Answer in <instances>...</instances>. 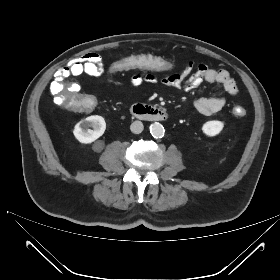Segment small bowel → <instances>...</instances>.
Masks as SVG:
<instances>
[{
    "mask_svg": "<svg viewBox=\"0 0 280 280\" xmlns=\"http://www.w3.org/2000/svg\"><path fill=\"white\" fill-rule=\"evenodd\" d=\"M192 66L193 63L188 62L183 71L172 73L160 71L143 73L139 69V71L130 78L129 83L133 87L140 86L144 83H161L168 87L184 90H193L203 83H208L216 85L230 95H236L238 93V87L235 81L228 71L223 69L216 70L204 64H200L195 73L188 79H185V73L188 72ZM65 69L69 71V74L85 73L90 76H99L104 72L101 57L96 53H88L69 62ZM155 73H165L166 75L158 78ZM194 106L198 112L204 115L216 114L225 106V98L222 95L199 98L195 101Z\"/></svg>",
    "mask_w": 280,
    "mask_h": 280,
    "instance_id": "obj_1",
    "label": "small bowel"
}]
</instances>
